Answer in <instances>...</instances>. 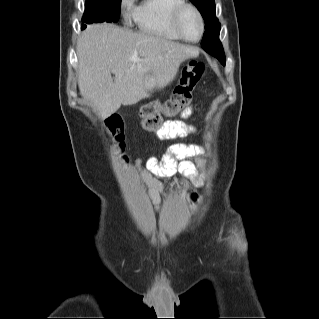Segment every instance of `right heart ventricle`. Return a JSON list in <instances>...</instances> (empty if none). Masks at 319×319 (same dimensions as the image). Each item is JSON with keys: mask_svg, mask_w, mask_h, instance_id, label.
Masks as SVG:
<instances>
[{"mask_svg": "<svg viewBox=\"0 0 319 319\" xmlns=\"http://www.w3.org/2000/svg\"><path fill=\"white\" fill-rule=\"evenodd\" d=\"M184 0H143L135 7L130 16L140 31L168 39L178 40L179 37L170 26V17L173 10Z\"/></svg>", "mask_w": 319, "mask_h": 319, "instance_id": "1", "label": "right heart ventricle"}]
</instances>
